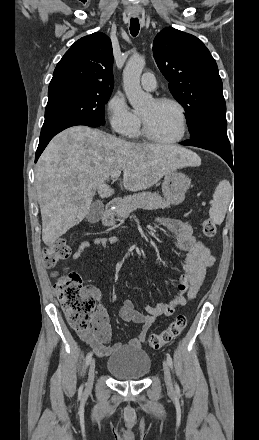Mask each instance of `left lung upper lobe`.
<instances>
[{"label":"left lung upper lobe","mask_w":259,"mask_h":440,"mask_svg":"<svg viewBox=\"0 0 259 440\" xmlns=\"http://www.w3.org/2000/svg\"><path fill=\"white\" fill-rule=\"evenodd\" d=\"M153 52L170 92L186 111L191 137L210 125L227 126L222 80L203 42L165 28L155 37Z\"/></svg>","instance_id":"5c2ea615"}]
</instances>
